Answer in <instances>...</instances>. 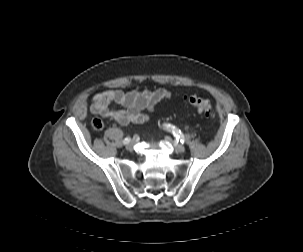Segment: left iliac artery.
Returning <instances> with one entry per match:
<instances>
[{"label": "left iliac artery", "instance_id": "44dca946", "mask_svg": "<svg viewBox=\"0 0 303 252\" xmlns=\"http://www.w3.org/2000/svg\"><path fill=\"white\" fill-rule=\"evenodd\" d=\"M167 127L172 128L173 135L176 137L177 140H180L182 144L185 142L184 135L180 130H178L175 126H171L170 124H168Z\"/></svg>", "mask_w": 303, "mask_h": 252}]
</instances>
